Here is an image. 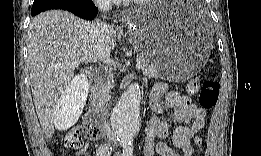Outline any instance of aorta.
I'll list each match as a JSON object with an SVG mask.
<instances>
[{
  "label": "aorta",
  "instance_id": "obj_1",
  "mask_svg": "<svg viewBox=\"0 0 261 156\" xmlns=\"http://www.w3.org/2000/svg\"><path fill=\"white\" fill-rule=\"evenodd\" d=\"M141 91L139 84L133 83L122 95L111 115V125L116 137L122 143L135 138L140 129Z\"/></svg>",
  "mask_w": 261,
  "mask_h": 156
}]
</instances>
